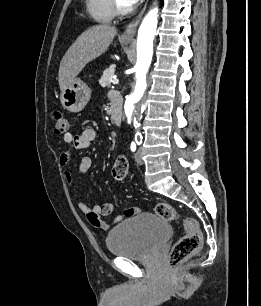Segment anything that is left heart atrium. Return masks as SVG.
Instances as JSON below:
<instances>
[{
  "label": "left heart atrium",
  "instance_id": "39dd6f15",
  "mask_svg": "<svg viewBox=\"0 0 261 306\" xmlns=\"http://www.w3.org/2000/svg\"><path fill=\"white\" fill-rule=\"evenodd\" d=\"M139 0H124V2L128 5V6H132L134 4H136Z\"/></svg>",
  "mask_w": 261,
  "mask_h": 306
}]
</instances>
